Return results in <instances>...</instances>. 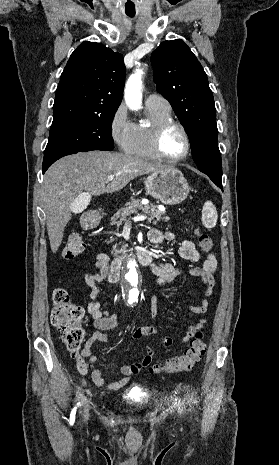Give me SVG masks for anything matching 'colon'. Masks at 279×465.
Here are the masks:
<instances>
[{"label":"colon","instance_id":"1","mask_svg":"<svg viewBox=\"0 0 279 465\" xmlns=\"http://www.w3.org/2000/svg\"><path fill=\"white\" fill-rule=\"evenodd\" d=\"M200 248L210 251L214 242L206 233L197 232ZM85 251V243L78 234H71L64 246L63 257L72 260L81 256ZM53 309L51 323L53 327L62 333V341L67 350L76 355L79 353L85 337L83 321L85 318L83 309L72 303L68 292L64 289H56L52 296ZM206 351L205 337L202 332H197L190 346L180 356L168 359L164 364H154L149 367L151 374L177 373L191 370L202 358Z\"/></svg>","mask_w":279,"mask_h":465}]
</instances>
